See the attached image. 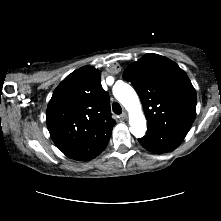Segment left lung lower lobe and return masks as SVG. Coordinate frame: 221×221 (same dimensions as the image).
<instances>
[{
    "label": "left lung lower lobe",
    "mask_w": 221,
    "mask_h": 221,
    "mask_svg": "<svg viewBox=\"0 0 221 221\" xmlns=\"http://www.w3.org/2000/svg\"><path fill=\"white\" fill-rule=\"evenodd\" d=\"M187 132L163 130L148 127L143 138L138 139L140 144L147 150L162 154L174 150L185 138Z\"/></svg>",
    "instance_id": "left-lung-lower-lobe-1"
}]
</instances>
